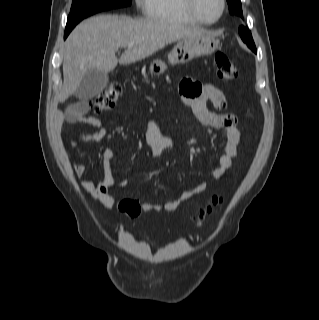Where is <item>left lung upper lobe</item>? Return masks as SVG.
Returning <instances> with one entry per match:
<instances>
[{"instance_id": "5c2ea615", "label": "left lung upper lobe", "mask_w": 319, "mask_h": 320, "mask_svg": "<svg viewBox=\"0 0 319 320\" xmlns=\"http://www.w3.org/2000/svg\"><path fill=\"white\" fill-rule=\"evenodd\" d=\"M228 5H229V12L232 15H237L240 17H243L242 13V7H241V2L240 0H227ZM239 34L242 38V40L247 44V46L254 52L256 51V47L251 35V32L248 30L247 27L241 26L239 28Z\"/></svg>"}]
</instances>
